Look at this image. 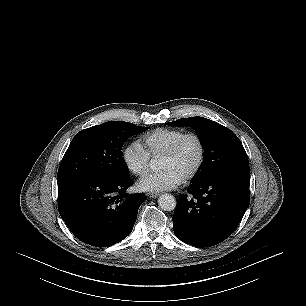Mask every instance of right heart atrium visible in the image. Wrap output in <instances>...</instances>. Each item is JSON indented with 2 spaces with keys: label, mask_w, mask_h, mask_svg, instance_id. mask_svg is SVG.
<instances>
[{
  "label": "right heart atrium",
  "mask_w": 306,
  "mask_h": 306,
  "mask_svg": "<svg viewBox=\"0 0 306 306\" xmlns=\"http://www.w3.org/2000/svg\"><path fill=\"white\" fill-rule=\"evenodd\" d=\"M122 159L127 170L142 177L150 169V155L139 143H130L122 151Z\"/></svg>",
  "instance_id": "obj_1"
}]
</instances>
